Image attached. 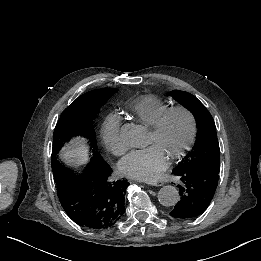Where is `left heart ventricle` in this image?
Here are the masks:
<instances>
[{"label":"left heart ventricle","instance_id":"left-heart-ventricle-1","mask_svg":"<svg viewBox=\"0 0 261 261\" xmlns=\"http://www.w3.org/2000/svg\"><path fill=\"white\" fill-rule=\"evenodd\" d=\"M189 130L190 124L187 117L181 113H174L169 116L158 132H153L147 126L146 138L142 145H157L168 159L185 143Z\"/></svg>","mask_w":261,"mask_h":261}]
</instances>
